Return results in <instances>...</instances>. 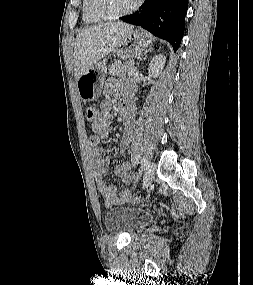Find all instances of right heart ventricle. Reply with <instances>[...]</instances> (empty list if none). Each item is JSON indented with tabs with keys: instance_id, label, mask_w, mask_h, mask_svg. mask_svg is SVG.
I'll use <instances>...</instances> for the list:
<instances>
[{
	"instance_id": "right-heart-ventricle-1",
	"label": "right heart ventricle",
	"mask_w": 253,
	"mask_h": 285,
	"mask_svg": "<svg viewBox=\"0 0 253 285\" xmlns=\"http://www.w3.org/2000/svg\"><path fill=\"white\" fill-rule=\"evenodd\" d=\"M82 18L85 23L91 24V23H97L100 20L92 16L88 9V0H83L82 4Z\"/></svg>"
}]
</instances>
